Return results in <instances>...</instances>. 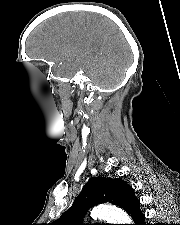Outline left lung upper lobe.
Wrapping results in <instances>:
<instances>
[{
    "label": "left lung upper lobe",
    "mask_w": 180,
    "mask_h": 225,
    "mask_svg": "<svg viewBox=\"0 0 180 225\" xmlns=\"http://www.w3.org/2000/svg\"><path fill=\"white\" fill-rule=\"evenodd\" d=\"M105 202L123 208L130 216L140 206L133 188L122 179L93 177L83 186L70 209L49 225H91L82 223L84 214L90 207Z\"/></svg>",
    "instance_id": "5c2ea615"
}]
</instances>
